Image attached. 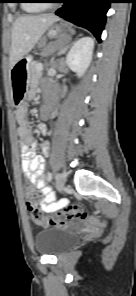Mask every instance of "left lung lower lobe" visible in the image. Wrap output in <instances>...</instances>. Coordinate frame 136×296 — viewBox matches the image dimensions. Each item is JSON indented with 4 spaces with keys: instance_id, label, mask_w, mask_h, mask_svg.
Here are the masks:
<instances>
[{
    "instance_id": "1",
    "label": "left lung lower lobe",
    "mask_w": 136,
    "mask_h": 296,
    "mask_svg": "<svg viewBox=\"0 0 136 296\" xmlns=\"http://www.w3.org/2000/svg\"><path fill=\"white\" fill-rule=\"evenodd\" d=\"M55 14L91 31L101 42V32L112 0H64Z\"/></svg>"
}]
</instances>
